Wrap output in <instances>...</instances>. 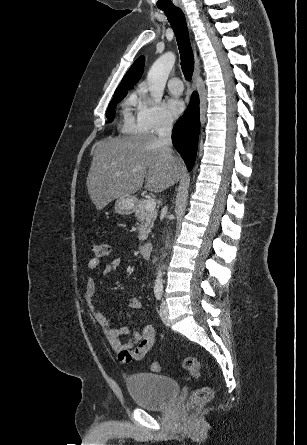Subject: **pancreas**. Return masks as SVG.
<instances>
[{
  "mask_svg": "<svg viewBox=\"0 0 307 445\" xmlns=\"http://www.w3.org/2000/svg\"><path fill=\"white\" fill-rule=\"evenodd\" d=\"M147 198H140L138 202V206L135 210V216H137L138 220H141V233L138 237L139 241H145L147 239L148 233L151 231V227H153L154 220L157 216L158 210L156 208H151V210H147L146 204Z\"/></svg>",
  "mask_w": 307,
  "mask_h": 445,
  "instance_id": "1",
  "label": "pancreas"
}]
</instances>
